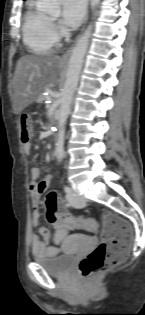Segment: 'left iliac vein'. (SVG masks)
<instances>
[{"label": "left iliac vein", "mask_w": 145, "mask_h": 315, "mask_svg": "<svg viewBox=\"0 0 145 315\" xmlns=\"http://www.w3.org/2000/svg\"><path fill=\"white\" fill-rule=\"evenodd\" d=\"M66 198L73 207L82 208L86 205V199L76 195L74 192L67 193Z\"/></svg>", "instance_id": "obj_1"}]
</instances>
